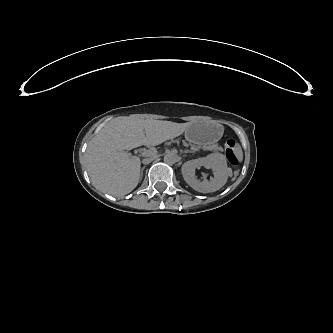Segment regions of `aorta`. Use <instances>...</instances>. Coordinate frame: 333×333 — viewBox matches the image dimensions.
I'll return each instance as SVG.
<instances>
[{
  "instance_id": "aorta-1",
  "label": "aorta",
  "mask_w": 333,
  "mask_h": 333,
  "mask_svg": "<svg viewBox=\"0 0 333 333\" xmlns=\"http://www.w3.org/2000/svg\"><path fill=\"white\" fill-rule=\"evenodd\" d=\"M164 162L168 165H172L176 162V157L172 153H166L164 156Z\"/></svg>"
}]
</instances>
